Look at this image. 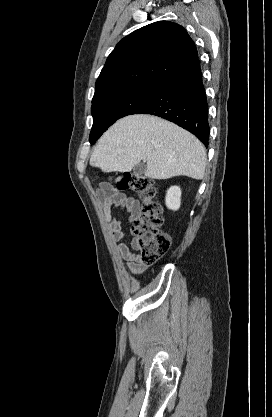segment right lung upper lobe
Segmentation results:
<instances>
[{
    "mask_svg": "<svg viewBox=\"0 0 272 417\" xmlns=\"http://www.w3.org/2000/svg\"><path fill=\"white\" fill-rule=\"evenodd\" d=\"M197 58L196 46L182 26L169 21L144 26L124 37L111 52L92 101L130 87L161 85Z\"/></svg>",
    "mask_w": 272,
    "mask_h": 417,
    "instance_id": "1",
    "label": "right lung upper lobe"
}]
</instances>
